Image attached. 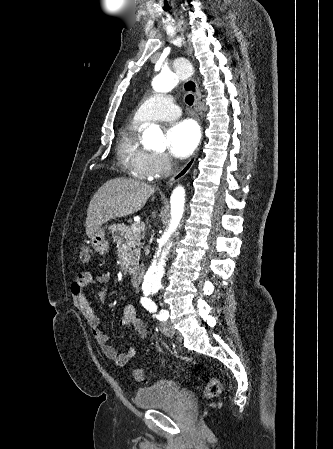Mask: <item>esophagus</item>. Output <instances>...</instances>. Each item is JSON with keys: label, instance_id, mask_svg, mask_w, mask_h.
I'll list each match as a JSON object with an SVG mask.
<instances>
[{"label": "esophagus", "instance_id": "esophagus-1", "mask_svg": "<svg viewBox=\"0 0 333 449\" xmlns=\"http://www.w3.org/2000/svg\"><path fill=\"white\" fill-rule=\"evenodd\" d=\"M192 53V48L191 46L188 47V54L191 55ZM184 89L187 92H191L194 96V103L196 108L198 109L199 113L201 114V93L198 87V83L194 78H190L188 79L185 83H184ZM198 152H196L190 159L189 161L175 174L173 175L170 180H169V184H173L174 182L180 180L181 178H183L193 167L196 158H197Z\"/></svg>", "mask_w": 333, "mask_h": 449}]
</instances>
